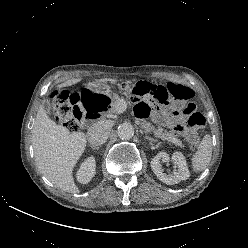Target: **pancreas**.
I'll return each instance as SVG.
<instances>
[{
	"label": "pancreas",
	"mask_w": 248,
	"mask_h": 248,
	"mask_svg": "<svg viewBox=\"0 0 248 248\" xmlns=\"http://www.w3.org/2000/svg\"><path fill=\"white\" fill-rule=\"evenodd\" d=\"M120 97L118 95H114L112 98L111 108H110V115L118 114V102ZM141 128L144 130L145 133H153L155 137L160 138L162 140L171 142L176 146L184 147L181 140L176 138L175 134L171 131H164L162 127H158L157 129L151 125L150 122L143 121L141 123Z\"/></svg>",
	"instance_id": "pancreas-1"
}]
</instances>
